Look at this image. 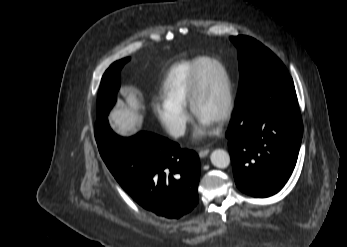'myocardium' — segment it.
<instances>
[{
	"instance_id": "obj_1",
	"label": "myocardium",
	"mask_w": 347,
	"mask_h": 247,
	"mask_svg": "<svg viewBox=\"0 0 347 247\" xmlns=\"http://www.w3.org/2000/svg\"><path fill=\"white\" fill-rule=\"evenodd\" d=\"M204 63L215 65L221 71L223 76L225 101L221 113L215 120L216 123L220 124L228 120L232 114L234 107V92L231 77L226 67L219 60L211 57H204L201 59L200 63L194 67L188 92V106L192 114L195 117H198L197 105L200 93V68Z\"/></svg>"
}]
</instances>
